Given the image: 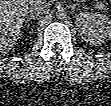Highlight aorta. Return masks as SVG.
Listing matches in <instances>:
<instances>
[{"instance_id": "obj_1", "label": "aorta", "mask_w": 111, "mask_h": 106, "mask_svg": "<svg viewBox=\"0 0 111 106\" xmlns=\"http://www.w3.org/2000/svg\"><path fill=\"white\" fill-rule=\"evenodd\" d=\"M66 16H67V13L63 9H58V11L56 12V17L58 19H64L66 18Z\"/></svg>"}]
</instances>
